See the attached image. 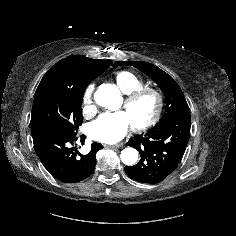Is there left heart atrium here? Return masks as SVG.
Here are the masks:
<instances>
[{
  "mask_svg": "<svg viewBox=\"0 0 236 236\" xmlns=\"http://www.w3.org/2000/svg\"><path fill=\"white\" fill-rule=\"evenodd\" d=\"M131 125L124 111L105 113L90 125L89 135L94 140L113 144L126 135Z\"/></svg>",
  "mask_w": 236,
  "mask_h": 236,
  "instance_id": "left-heart-atrium-1",
  "label": "left heart atrium"
}]
</instances>
